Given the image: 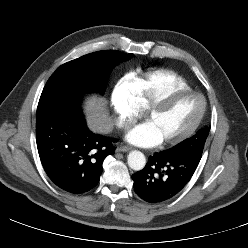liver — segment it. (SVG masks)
Wrapping results in <instances>:
<instances>
[{"label":"liver","instance_id":"obj_1","mask_svg":"<svg viewBox=\"0 0 248 248\" xmlns=\"http://www.w3.org/2000/svg\"><path fill=\"white\" fill-rule=\"evenodd\" d=\"M87 123L93 132L107 133L112 128V121L105 109V101L95 97L89 99L85 105Z\"/></svg>","mask_w":248,"mask_h":248}]
</instances>
